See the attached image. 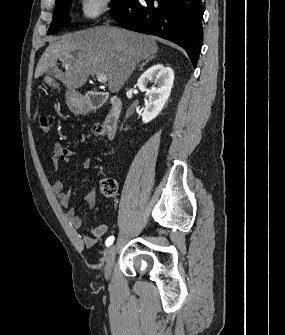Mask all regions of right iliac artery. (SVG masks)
<instances>
[{
  "label": "right iliac artery",
  "mask_w": 285,
  "mask_h": 335,
  "mask_svg": "<svg viewBox=\"0 0 285 335\" xmlns=\"http://www.w3.org/2000/svg\"><path fill=\"white\" fill-rule=\"evenodd\" d=\"M113 242H114V236H110V237L106 240L105 244H106V246H110Z\"/></svg>",
  "instance_id": "obj_1"
}]
</instances>
